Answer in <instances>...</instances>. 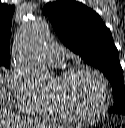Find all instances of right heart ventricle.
I'll list each match as a JSON object with an SVG mask.
<instances>
[{"label": "right heart ventricle", "instance_id": "obj_1", "mask_svg": "<svg viewBox=\"0 0 125 128\" xmlns=\"http://www.w3.org/2000/svg\"><path fill=\"white\" fill-rule=\"evenodd\" d=\"M38 115L49 120H59L62 119L55 111L52 103L47 99L44 105L38 111Z\"/></svg>", "mask_w": 125, "mask_h": 128}]
</instances>
